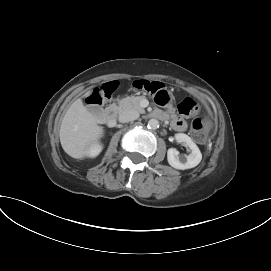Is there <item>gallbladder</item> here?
Here are the masks:
<instances>
[{
  "label": "gallbladder",
  "mask_w": 271,
  "mask_h": 271,
  "mask_svg": "<svg viewBox=\"0 0 271 271\" xmlns=\"http://www.w3.org/2000/svg\"><path fill=\"white\" fill-rule=\"evenodd\" d=\"M88 111L97 119L103 120V110L99 106H91L88 108Z\"/></svg>",
  "instance_id": "obj_1"
}]
</instances>
